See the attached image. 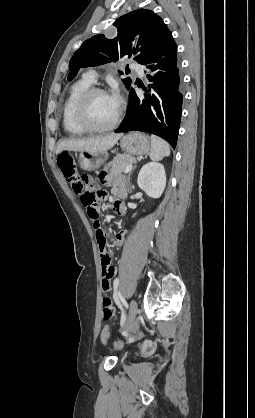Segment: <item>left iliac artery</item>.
Wrapping results in <instances>:
<instances>
[{
  "instance_id": "1",
  "label": "left iliac artery",
  "mask_w": 255,
  "mask_h": 418,
  "mask_svg": "<svg viewBox=\"0 0 255 418\" xmlns=\"http://www.w3.org/2000/svg\"><path fill=\"white\" fill-rule=\"evenodd\" d=\"M117 293L119 294L118 299L120 298L121 299V302L123 303V305H125L127 307L128 305H127V302L125 301V299L121 297V294H120L119 291Z\"/></svg>"
}]
</instances>
